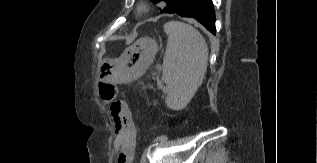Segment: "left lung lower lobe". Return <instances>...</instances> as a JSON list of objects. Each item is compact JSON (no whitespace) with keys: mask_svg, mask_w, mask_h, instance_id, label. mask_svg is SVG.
<instances>
[{"mask_svg":"<svg viewBox=\"0 0 317 163\" xmlns=\"http://www.w3.org/2000/svg\"><path fill=\"white\" fill-rule=\"evenodd\" d=\"M174 13L181 17L197 19L215 35V13L212 0H183Z\"/></svg>","mask_w":317,"mask_h":163,"instance_id":"obj_1","label":"left lung lower lobe"}]
</instances>
